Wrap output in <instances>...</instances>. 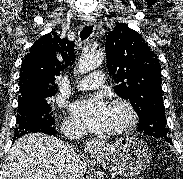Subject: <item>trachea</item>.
<instances>
[{
  "mask_svg": "<svg viewBox=\"0 0 183 179\" xmlns=\"http://www.w3.org/2000/svg\"><path fill=\"white\" fill-rule=\"evenodd\" d=\"M92 31H93V25H91V26H85L83 28V30L81 31V33H80L81 39L84 40L87 37H89L91 35Z\"/></svg>",
  "mask_w": 183,
  "mask_h": 179,
  "instance_id": "1",
  "label": "trachea"
}]
</instances>
